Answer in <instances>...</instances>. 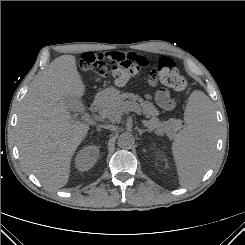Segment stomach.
<instances>
[{"label": "stomach", "instance_id": "1", "mask_svg": "<svg viewBox=\"0 0 245 245\" xmlns=\"http://www.w3.org/2000/svg\"><path fill=\"white\" fill-rule=\"evenodd\" d=\"M102 93L107 99L113 100L118 95L119 91L115 89L114 87H109L103 90Z\"/></svg>", "mask_w": 245, "mask_h": 245}]
</instances>
